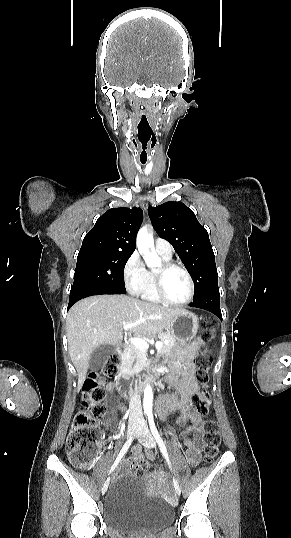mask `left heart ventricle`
<instances>
[{
  "label": "left heart ventricle",
  "mask_w": 291,
  "mask_h": 538,
  "mask_svg": "<svg viewBox=\"0 0 291 538\" xmlns=\"http://www.w3.org/2000/svg\"><path fill=\"white\" fill-rule=\"evenodd\" d=\"M164 289L167 297L173 301L184 300L189 293V283L180 270H172L164 276Z\"/></svg>",
  "instance_id": "b2bd125f"
}]
</instances>
